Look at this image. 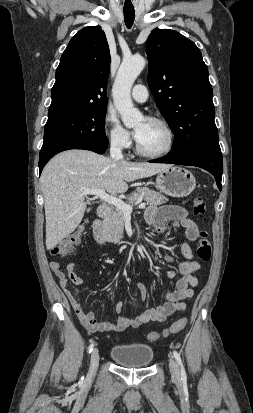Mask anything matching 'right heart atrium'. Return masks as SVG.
<instances>
[{"label": "right heart atrium", "instance_id": "d8ad5b80", "mask_svg": "<svg viewBox=\"0 0 253 413\" xmlns=\"http://www.w3.org/2000/svg\"><path fill=\"white\" fill-rule=\"evenodd\" d=\"M103 125L111 146L117 149H126L130 146V133L120 125L115 115L107 113L104 117Z\"/></svg>", "mask_w": 253, "mask_h": 413}]
</instances>
